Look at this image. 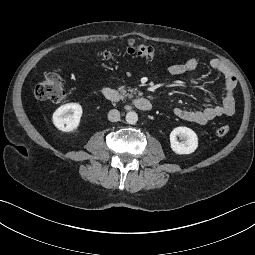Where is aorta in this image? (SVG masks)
Listing matches in <instances>:
<instances>
[{
	"instance_id": "762f6f07",
	"label": "aorta",
	"mask_w": 255,
	"mask_h": 255,
	"mask_svg": "<svg viewBox=\"0 0 255 255\" xmlns=\"http://www.w3.org/2000/svg\"><path fill=\"white\" fill-rule=\"evenodd\" d=\"M127 123L135 124L138 121V114L134 111H129L125 117Z\"/></svg>"
}]
</instances>
